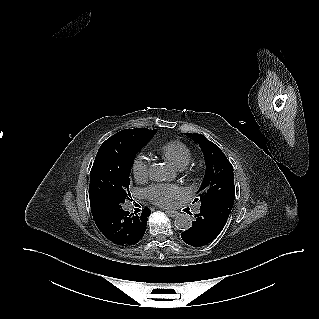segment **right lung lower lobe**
<instances>
[{
	"instance_id": "obj_1",
	"label": "right lung lower lobe",
	"mask_w": 319,
	"mask_h": 319,
	"mask_svg": "<svg viewBox=\"0 0 319 319\" xmlns=\"http://www.w3.org/2000/svg\"><path fill=\"white\" fill-rule=\"evenodd\" d=\"M95 223L101 233L117 245L129 246L143 237L150 210L144 208L140 214H130L122 209V203L101 201L91 206Z\"/></svg>"
}]
</instances>
